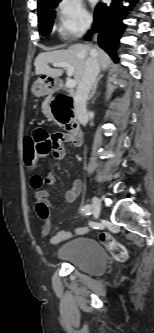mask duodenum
Returning a JSON list of instances; mask_svg holds the SVG:
<instances>
[{"label": "duodenum", "mask_w": 154, "mask_h": 333, "mask_svg": "<svg viewBox=\"0 0 154 333\" xmlns=\"http://www.w3.org/2000/svg\"><path fill=\"white\" fill-rule=\"evenodd\" d=\"M49 88H51V89H55V90L59 89V88H60V82H59V81H51V82L49 83ZM70 99H71V101H72V103H71V106H72V104H73V99H72L71 97H70ZM70 108H71V107H70ZM67 111H68V109L65 108V111L63 112L62 115H65V116H66V115H67ZM52 112H53V114H54L55 116H58V113H57V109H56V107H53ZM68 126H69V127H72L71 134L74 135V136H76V137H78V136H79V122H78V120H77V119H72V120H70Z\"/></svg>", "instance_id": "410a0bca"}]
</instances>
